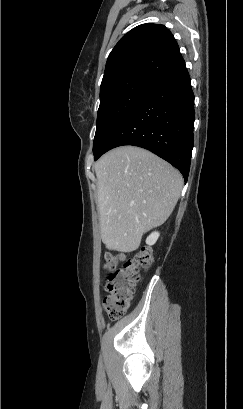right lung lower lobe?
Listing matches in <instances>:
<instances>
[{
  "instance_id": "obj_1",
  "label": "right lung lower lobe",
  "mask_w": 243,
  "mask_h": 409,
  "mask_svg": "<svg viewBox=\"0 0 243 409\" xmlns=\"http://www.w3.org/2000/svg\"><path fill=\"white\" fill-rule=\"evenodd\" d=\"M194 119V94L183 60L159 80L116 128L95 160L118 146H138L171 163L186 182L194 142Z\"/></svg>"
}]
</instances>
